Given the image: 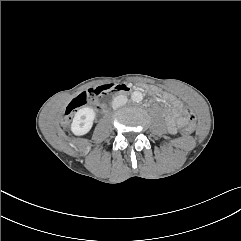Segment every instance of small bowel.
<instances>
[{
	"instance_id": "1",
	"label": "small bowel",
	"mask_w": 241,
	"mask_h": 241,
	"mask_svg": "<svg viewBox=\"0 0 241 241\" xmlns=\"http://www.w3.org/2000/svg\"><path fill=\"white\" fill-rule=\"evenodd\" d=\"M166 98L172 105L167 116V125L170 131H174L176 126L185 124V120L182 118V103L180 100L170 95H167Z\"/></svg>"
}]
</instances>
